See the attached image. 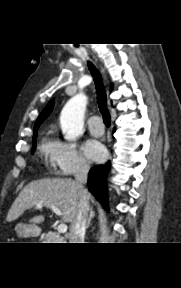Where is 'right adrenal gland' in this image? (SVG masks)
Listing matches in <instances>:
<instances>
[{
	"label": "right adrenal gland",
	"mask_w": 181,
	"mask_h": 288,
	"mask_svg": "<svg viewBox=\"0 0 181 288\" xmlns=\"http://www.w3.org/2000/svg\"><path fill=\"white\" fill-rule=\"evenodd\" d=\"M93 217H94V211H93V209L91 208V209H90V213H89V217H88V220H87L86 229L90 226L91 219H92Z\"/></svg>",
	"instance_id": "obj_1"
}]
</instances>
